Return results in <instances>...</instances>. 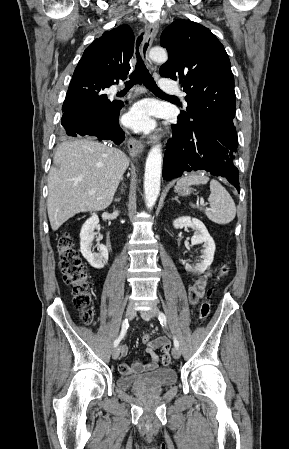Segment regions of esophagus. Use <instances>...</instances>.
I'll return each instance as SVG.
<instances>
[{"label": "esophagus", "instance_id": "esophagus-1", "mask_svg": "<svg viewBox=\"0 0 289 449\" xmlns=\"http://www.w3.org/2000/svg\"><path fill=\"white\" fill-rule=\"evenodd\" d=\"M158 27L155 23H148L145 26V37L141 46V54L146 64L151 68L152 62L149 58V50L152 42L157 34ZM128 149L134 154H140L144 150V146L140 140L130 138L128 141Z\"/></svg>", "mask_w": 289, "mask_h": 449}]
</instances>
